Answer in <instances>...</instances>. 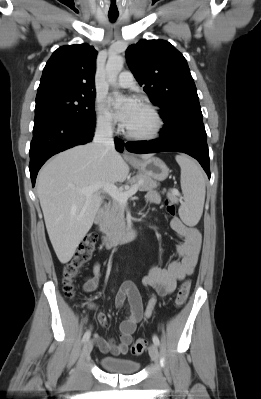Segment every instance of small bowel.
Returning <instances> with one entry per match:
<instances>
[{
    "label": "small bowel",
    "mask_w": 261,
    "mask_h": 399,
    "mask_svg": "<svg viewBox=\"0 0 261 399\" xmlns=\"http://www.w3.org/2000/svg\"><path fill=\"white\" fill-rule=\"evenodd\" d=\"M146 200L150 204H159L161 199L156 191L150 190L146 194ZM170 224L172 229L184 239L182 243L176 246L177 258L172 259L165 266H153L142 280V284L146 288L155 290L161 296L172 293L178 280H183L186 276L192 274L198 263L202 245V235L198 228L185 225L179 218H173ZM102 275L101 264L96 262L93 265V275L84 282V291L88 293L94 291L98 287ZM114 302L117 308H122L127 303L128 309L127 315L119 326V342L104 339L96 333L93 335V340L102 353L118 356L127 353L137 324L153 314L156 298L152 294L144 309L135 284L132 281H125L121 284ZM98 320L102 325L107 323V318L103 312L98 313Z\"/></svg>",
    "instance_id": "small-bowel-1"
}]
</instances>
